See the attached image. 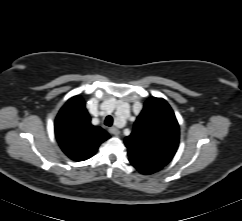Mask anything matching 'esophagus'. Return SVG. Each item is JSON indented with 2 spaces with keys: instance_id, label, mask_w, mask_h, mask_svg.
Listing matches in <instances>:
<instances>
[{
  "instance_id": "obj_1",
  "label": "esophagus",
  "mask_w": 242,
  "mask_h": 221,
  "mask_svg": "<svg viewBox=\"0 0 242 221\" xmlns=\"http://www.w3.org/2000/svg\"><path fill=\"white\" fill-rule=\"evenodd\" d=\"M109 132L113 135H119L120 134V131L115 127H110Z\"/></svg>"
}]
</instances>
